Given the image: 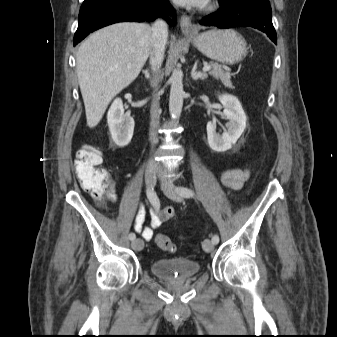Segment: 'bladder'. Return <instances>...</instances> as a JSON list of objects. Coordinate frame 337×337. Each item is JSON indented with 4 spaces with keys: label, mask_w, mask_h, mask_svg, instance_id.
<instances>
[{
    "label": "bladder",
    "mask_w": 337,
    "mask_h": 337,
    "mask_svg": "<svg viewBox=\"0 0 337 337\" xmlns=\"http://www.w3.org/2000/svg\"><path fill=\"white\" fill-rule=\"evenodd\" d=\"M200 268L198 262L183 257L156 259L150 266L155 276L165 279L191 278L199 273Z\"/></svg>",
    "instance_id": "31cf9c89"
}]
</instances>
